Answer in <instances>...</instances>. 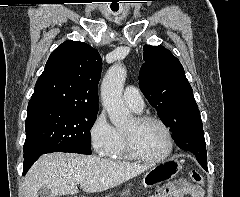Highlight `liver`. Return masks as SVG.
<instances>
[{
  "label": "liver",
  "mask_w": 240,
  "mask_h": 197,
  "mask_svg": "<svg viewBox=\"0 0 240 197\" xmlns=\"http://www.w3.org/2000/svg\"><path fill=\"white\" fill-rule=\"evenodd\" d=\"M150 165L103 159L74 153L41 156L24 178V197H38L41 188L53 196L102 192L143 173Z\"/></svg>",
  "instance_id": "liver-1"
}]
</instances>
